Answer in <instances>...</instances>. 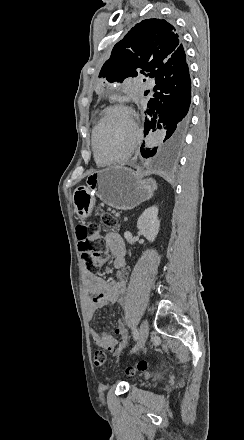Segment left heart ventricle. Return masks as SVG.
<instances>
[{"label": "left heart ventricle", "instance_id": "obj_1", "mask_svg": "<svg viewBox=\"0 0 244 440\" xmlns=\"http://www.w3.org/2000/svg\"><path fill=\"white\" fill-rule=\"evenodd\" d=\"M102 133L99 137L98 151L102 155H107L109 151L115 150V145L122 141L132 138L137 127L133 121V116L122 111H113L110 113L107 121L103 124Z\"/></svg>", "mask_w": 244, "mask_h": 440}]
</instances>
